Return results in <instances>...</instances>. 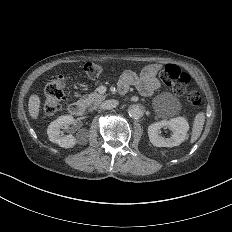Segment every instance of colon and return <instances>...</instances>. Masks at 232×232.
I'll list each match as a JSON object with an SVG mask.
<instances>
[{"mask_svg": "<svg viewBox=\"0 0 232 232\" xmlns=\"http://www.w3.org/2000/svg\"><path fill=\"white\" fill-rule=\"evenodd\" d=\"M103 72V67H97L93 62H88L84 65L83 73L90 79H95ZM162 82L167 87L178 86V93L181 94V99L188 101V107H202L199 86H188L190 78L188 75L183 74L180 69L174 65H168L161 71ZM63 84H57L56 81H47L43 84L44 97L39 98V103H43L45 109L43 114H57L59 102H66V95H62Z\"/></svg>", "mask_w": 232, "mask_h": 232, "instance_id": "obj_1", "label": "colon"}]
</instances>
